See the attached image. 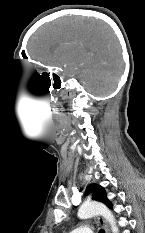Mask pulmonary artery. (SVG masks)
<instances>
[{"mask_svg": "<svg viewBox=\"0 0 145 233\" xmlns=\"http://www.w3.org/2000/svg\"><path fill=\"white\" fill-rule=\"evenodd\" d=\"M70 233H95L93 228L90 227H78L74 230H72Z\"/></svg>", "mask_w": 145, "mask_h": 233, "instance_id": "obj_1", "label": "pulmonary artery"}]
</instances>
